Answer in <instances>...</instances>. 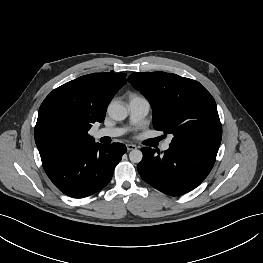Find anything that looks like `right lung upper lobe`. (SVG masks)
Instances as JSON below:
<instances>
[{"instance_id":"1","label":"right lung upper lobe","mask_w":263,"mask_h":263,"mask_svg":"<svg viewBox=\"0 0 263 263\" xmlns=\"http://www.w3.org/2000/svg\"><path fill=\"white\" fill-rule=\"evenodd\" d=\"M125 77V73L88 74L45 98L34 131L43 166L69 147L94 140L88 131L104 120L109 102L126 84Z\"/></svg>"}]
</instances>
